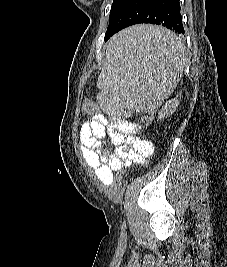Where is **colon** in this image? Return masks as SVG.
<instances>
[{"mask_svg": "<svg viewBox=\"0 0 227 267\" xmlns=\"http://www.w3.org/2000/svg\"><path fill=\"white\" fill-rule=\"evenodd\" d=\"M84 109L88 113H94L97 111V106L92 102H85ZM159 117L158 113H150L149 111H143V115L141 116V124L142 125H155L157 118ZM133 160L125 161V166L123 169H120L116 173V178H127L129 174L134 171V166H132Z\"/></svg>", "mask_w": 227, "mask_h": 267, "instance_id": "colon-1", "label": "colon"}]
</instances>
